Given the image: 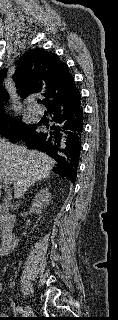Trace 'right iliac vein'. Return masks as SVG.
Listing matches in <instances>:
<instances>
[{
	"instance_id": "obj_1",
	"label": "right iliac vein",
	"mask_w": 118,
	"mask_h": 320,
	"mask_svg": "<svg viewBox=\"0 0 118 320\" xmlns=\"http://www.w3.org/2000/svg\"><path fill=\"white\" fill-rule=\"evenodd\" d=\"M26 311H27V315H31L33 313V310L30 305L27 306Z\"/></svg>"
}]
</instances>
